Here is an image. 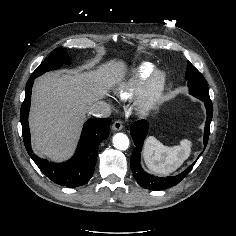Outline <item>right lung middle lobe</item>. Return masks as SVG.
<instances>
[{
  "mask_svg": "<svg viewBox=\"0 0 236 236\" xmlns=\"http://www.w3.org/2000/svg\"><path fill=\"white\" fill-rule=\"evenodd\" d=\"M68 61V56L63 48L55 49L32 73L30 79H35L43 73L59 68L64 62Z\"/></svg>",
  "mask_w": 236,
  "mask_h": 236,
  "instance_id": "1",
  "label": "right lung middle lobe"
}]
</instances>
